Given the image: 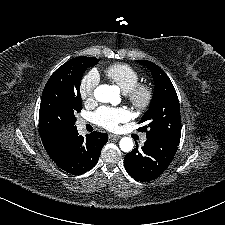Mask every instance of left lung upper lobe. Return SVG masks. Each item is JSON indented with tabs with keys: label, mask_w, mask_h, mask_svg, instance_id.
<instances>
[{
	"label": "left lung upper lobe",
	"mask_w": 225,
	"mask_h": 225,
	"mask_svg": "<svg viewBox=\"0 0 225 225\" xmlns=\"http://www.w3.org/2000/svg\"><path fill=\"white\" fill-rule=\"evenodd\" d=\"M152 73L155 91L149 110L140 123L147 125L139 128L146 132V138L162 139L179 145L181 136V117L179 100L173 84L166 73L156 64L137 60Z\"/></svg>",
	"instance_id": "obj_1"
}]
</instances>
